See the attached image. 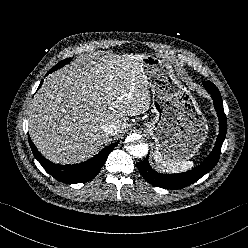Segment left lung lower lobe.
<instances>
[{"label": "left lung lower lobe", "instance_id": "0a47b994", "mask_svg": "<svg viewBox=\"0 0 248 248\" xmlns=\"http://www.w3.org/2000/svg\"><path fill=\"white\" fill-rule=\"evenodd\" d=\"M203 85L208 93L211 94V97L214 101V107L219 118V135L212 152L199 166L181 174H160L156 172L150 167L148 162L149 156H147L146 159H144L142 162H137L136 165L148 183L157 187L171 190L184 188L196 182L203 175L211 171L218 162L222 143L226 135L227 120L223 109L222 98L217 87L209 81H204Z\"/></svg>", "mask_w": 248, "mask_h": 248}]
</instances>
